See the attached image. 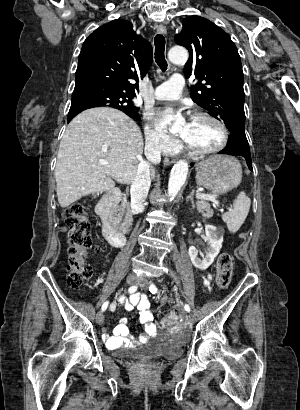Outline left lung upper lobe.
<instances>
[{
  "label": "left lung upper lobe",
  "instance_id": "5c2ea615",
  "mask_svg": "<svg viewBox=\"0 0 300 410\" xmlns=\"http://www.w3.org/2000/svg\"><path fill=\"white\" fill-rule=\"evenodd\" d=\"M174 40L189 51L184 67L186 78L195 76L191 98L223 121L229 131L245 135L243 71L238 50L230 36L206 18L183 20Z\"/></svg>",
  "mask_w": 300,
  "mask_h": 410
}]
</instances>
